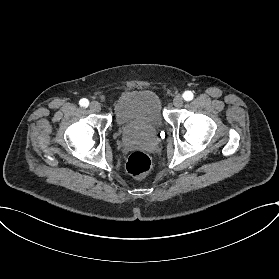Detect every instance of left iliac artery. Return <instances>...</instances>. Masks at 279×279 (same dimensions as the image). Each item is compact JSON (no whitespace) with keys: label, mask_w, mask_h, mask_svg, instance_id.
<instances>
[{"label":"left iliac artery","mask_w":279,"mask_h":279,"mask_svg":"<svg viewBox=\"0 0 279 279\" xmlns=\"http://www.w3.org/2000/svg\"><path fill=\"white\" fill-rule=\"evenodd\" d=\"M193 93L191 91H185L184 94H183V98L186 100V101H190L193 99Z\"/></svg>","instance_id":"obj_1"}]
</instances>
